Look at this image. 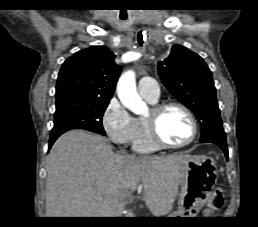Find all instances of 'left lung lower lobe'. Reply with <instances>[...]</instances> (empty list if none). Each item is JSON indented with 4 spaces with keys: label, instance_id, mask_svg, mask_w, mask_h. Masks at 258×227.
<instances>
[{
    "label": "left lung lower lobe",
    "instance_id": "left-lung-lower-lobe-1",
    "mask_svg": "<svg viewBox=\"0 0 258 227\" xmlns=\"http://www.w3.org/2000/svg\"><path fill=\"white\" fill-rule=\"evenodd\" d=\"M212 143H214L217 146H219L222 149V151L224 152L226 158L228 159V149H227L226 142H212Z\"/></svg>",
    "mask_w": 258,
    "mask_h": 227
}]
</instances>
